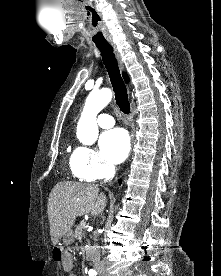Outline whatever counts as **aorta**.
<instances>
[{
	"mask_svg": "<svg viewBox=\"0 0 221 276\" xmlns=\"http://www.w3.org/2000/svg\"><path fill=\"white\" fill-rule=\"evenodd\" d=\"M110 89L93 91L86 99L85 106L77 124V137L84 145H92L98 138L96 117L98 113L111 101Z\"/></svg>",
	"mask_w": 221,
	"mask_h": 276,
	"instance_id": "1",
	"label": "aorta"
}]
</instances>
